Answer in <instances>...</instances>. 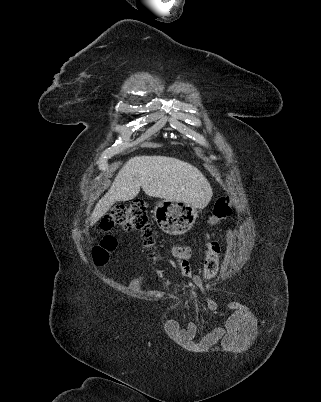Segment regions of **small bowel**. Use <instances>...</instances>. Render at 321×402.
Returning a JSON list of instances; mask_svg holds the SVG:
<instances>
[{
  "mask_svg": "<svg viewBox=\"0 0 321 402\" xmlns=\"http://www.w3.org/2000/svg\"><path fill=\"white\" fill-rule=\"evenodd\" d=\"M229 235L230 232H228ZM172 254L177 260L183 277L191 280L195 285L201 286L203 284L202 277L192 269L189 263L192 255L191 249L181 244H175L172 246ZM141 281L142 277L138 276L133 279L131 286L137 287ZM205 308L207 311H215L217 305L215 302H207ZM230 309L232 310L229 313L230 320L225 322L223 329L217 326L214 330H204L203 334H199V327L195 326L194 322L182 328L178 323L172 321L168 324V333L186 346L187 351L200 349L202 353H214L216 347L220 346V339L226 347V351L234 353L250 351V347L254 344L253 339L258 336L257 331L253 329L259 328V321L252 320L253 313L247 302H232ZM195 335H198V341H194Z\"/></svg>",
  "mask_w": 321,
  "mask_h": 402,
  "instance_id": "c3829d8e",
  "label": "small bowel"
}]
</instances>
